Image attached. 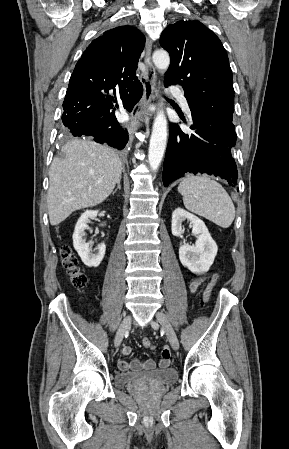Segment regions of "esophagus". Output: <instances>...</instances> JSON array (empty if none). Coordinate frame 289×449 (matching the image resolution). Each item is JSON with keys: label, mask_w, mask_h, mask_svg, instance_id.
I'll list each match as a JSON object with an SVG mask.
<instances>
[{"label": "esophagus", "mask_w": 289, "mask_h": 449, "mask_svg": "<svg viewBox=\"0 0 289 449\" xmlns=\"http://www.w3.org/2000/svg\"><path fill=\"white\" fill-rule=\"evenodd\" d=\"M151 48H152V41L149 38H147L144 50V62L146 66V71L144 77L141 79L144 91L141 100L133 108L131 112L130 123L128 126L129 133L131 135V140L133 139L134 132L140 127V119L146 116L147 108L155 98L154 92H155L156 71L154 65L151 62Z\"/></svg>", "instance_id": "1"}]
</instances>
